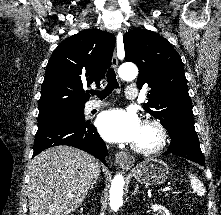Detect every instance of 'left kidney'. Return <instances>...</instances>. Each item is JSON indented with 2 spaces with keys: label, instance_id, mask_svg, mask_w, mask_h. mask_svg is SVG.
I'll return each instance as SVG.
<instances>
[{
  "label": "left kidney",
  "instance_id": "left-kidney-1",
  "mask_svg": "<svg viewBox=\"0 0 221 215\" xmlns=\"http://www.w3.org/2000/svg\"><path fill=\"white\" fill-rule=\"evenodd\" d=\"M151 208L153 209L154 212H157L158 214L155 215H170L169 211L161 205H152Z\"/></svg>",
  "mask_w": 221,
  "mask_h": 215
}]
</instances>
